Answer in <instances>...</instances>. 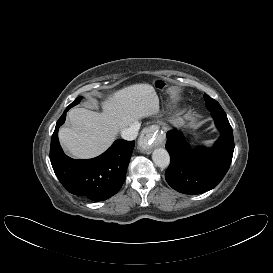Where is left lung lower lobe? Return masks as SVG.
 Listing matches in <instances>:
<instances>
[{"label": "left lung lower lobe", "instance_id": "1", "mask_svg": "<svg viewBox=\"0 0 273 273\" xmlns=\"http://www.w3.org/2000/svg\"><path fill=\"white\" fill-rule=\"evenodd\" d=\"M212 117L221 135L211 149H191L176 130L166 134V149L171 161L165 179L178 192H207L220 183L230 167L234 151L231 125L226 114L213 113Z\"/></svg>", "mask_w": 273, "mask_h": 273}]
</instances>
